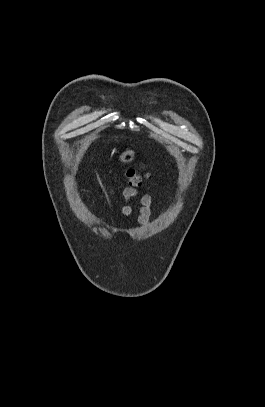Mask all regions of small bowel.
<instances>
[{
  "instance_id": "obj_1",
  "label": "small bowel",
  "mask_w": 265,
  "mask_h": 407,
  "mask_svg": "<svg viewBox=\"0 0 265 407\" xmlns=\"http://www.w3.org/2000/svg\"><path fill=\"white\" fill-rule=\"evenodd\" d=\"M139 196V192L134 187H126L123 190V206L121 208V213L123 216H128L132 212V200ZM152 196L150 194H144L140 197V208L138 215V224L140 226H146L151 218V206H152Z\"/></svg>"
}]
</instances>
